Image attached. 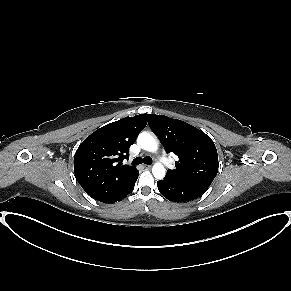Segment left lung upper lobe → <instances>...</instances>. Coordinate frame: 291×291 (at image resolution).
I'll use <instances>...</instances> for the list:
<instances>
[{
	"mask_svg": "<svg viewBox=\"0 0 291 291\" xmlns=\"http://www.w3.org/2000/svg\"><path fill=\"white\" fill-rule=\"evenodd\" d=\"M149 126L167 153L179 158L176 169L167 175L177 180L209 187L218 172V155L211 138L203 131L181 120L164 115H149Z\"/></svg>",
	"mask_w": 291,
	"mask_h": 291,
	"instance_id": "obj_1",
	"label": "left lung upper lobe"
}]
</instances>
